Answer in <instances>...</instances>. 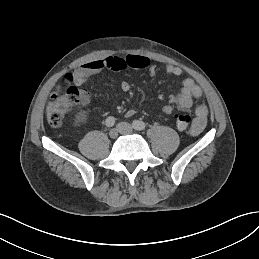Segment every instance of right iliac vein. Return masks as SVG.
I'll list each match as a JSON object with an SVG mask.
<instances>
[{
	"label": "right iliac vein",
	"mask_w": 259,
	"mask_h": 259,
	"mask_svg": "<svg viewBox=\"0 0 259 259\" xmlns=\"http://www.w3.org/2000/svg\"><path fill=\"white\" fill-rule=\"evenodd\" d=\"M118 132H119V131H118L117 128L111 129V130L109 131V136H110V138H112V139L117 138Z\"/></svg>",
	"instance_id": "obj_1"
}]
</instances>
